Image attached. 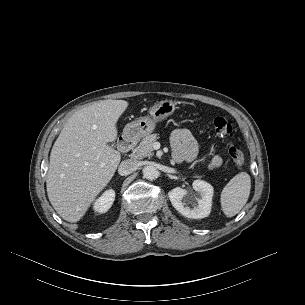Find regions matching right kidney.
<instances>
[{"instance_id": "right-kidney-1", "label": "right kidney", "mask_w": 305, "mask_h": 305, "mask_svg": "<svg viewBox=\"0 0 305 305\" xmlns=\"http://www.w3.org/2000/svg\"><path fill=\"white\" fill-rule=\"evenodd\" d=\"M115 200V191L109 189L105 191L94 203V210L99 213L107 212Z\"/></svg>"}]
</instances>
